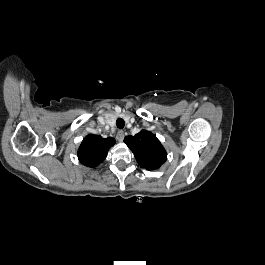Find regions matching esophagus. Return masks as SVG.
I'll use <instances>...</instances> for the list:
<instances>
[{"label":"esophagus","mask_w":265,"mask_h":265,"mask_svg":"<svg viewBox=\"0 0 265 265\" xmlns=\"http://www.w3.org/2000/svg\"><path fill=\"white\" fill-rule=\"evenodd\" d=\"M116 138H117V140H118L119 142H122L123 139H124V132H123L122 130H119V131L117 132Z\"/></svg>","instance_id":"1"}]
</instances>
